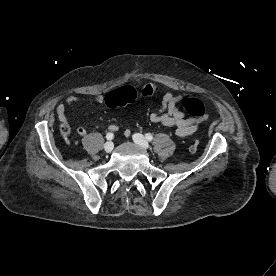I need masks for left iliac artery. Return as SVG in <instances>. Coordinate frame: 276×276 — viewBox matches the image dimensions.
<instances>
[{"mask_svg":"<svg viewBox=\"0 0 276 276\" xmlns=\"http://www.w3.org/2000/svg\"><path fill=\"white\" fill-rule=\"evenodd\" d=\"M145 137H146V139H147L148 141H152V140H153V136H152V134H150V133H147V134L145 135Z\"/></svg>","mask_w":276,"mask_h":276,"instance_id":"left-iliac-artery-1","label":"left iliac artery"}]
</instances>
